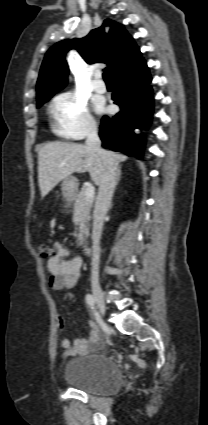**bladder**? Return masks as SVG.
Segmentation results:
<instances>
[{
	"label": "bladder",
	"mask_w": 208,
	"mask_h": 425,
	"mask_svg": "<svg viewBox=\"0 0 208 425\" xmlns=\"http://www.w3.org/2000/svg\"><path fill=\"white\" fill-rule=\"evenodd\" d=\"M63 377L72 387L96 395H108L122 384L117 364L100 353H88L65 361Z\"/></svg>",
	"instance_id": "obj_1"
}]
</instances>
